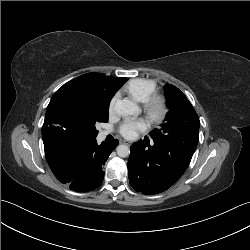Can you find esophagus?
Returning <instances> with one entry per match:
<instances>
[{
  "instance_id": "esophagus-1",
  "label": "esophagus",
  "mask_w": 250,
  "mask_h": 250,
  "mask_svg": "<svg viewBox=\"0 0 250 250\" xmlns=\"http://www.w3.org/2000/svg\"><path fill=\"white\" fill-rule=\"evenodd\" d=\"M122 143L127 144V145H130V143H129V142H126V141H122Z\"/></svg>"
}]
</instances>
